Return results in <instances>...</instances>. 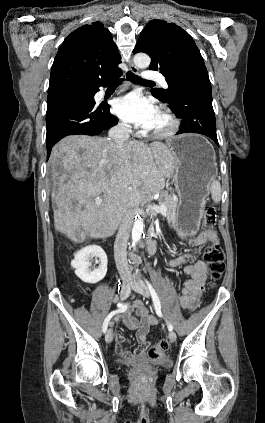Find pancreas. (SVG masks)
<instances>
[{"label": "pancreas", "instance_id": "obj_1", "mask_svg": "<svg viewBox=\"0 0 265 423\" xmlns=\"http://www.w3.org/2000/svg\"><path fill=\"white\" fill-rule=\"evenodd\" d=\"M158 203L160 205H164L167 208V212L165 217L170 225H174L176 222V209H177V202L175 201L174 197L169 195L167 192H161L160 198L158 199ZM151 218H153V214H151Z\"/></svg>", "mask_w": 265, "mask_h": 423}]
</instances>
